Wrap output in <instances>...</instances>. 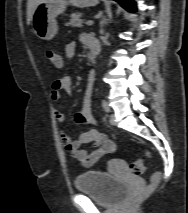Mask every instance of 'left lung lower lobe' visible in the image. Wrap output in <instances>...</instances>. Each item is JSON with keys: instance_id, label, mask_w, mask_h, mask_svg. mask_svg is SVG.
Listing matches in <instances>:
<instances>
[{"instance_id": "obj_1", "label": "left lung lower lobe", "mask_w": 188, "mask_h": 213, "mask_svg": "<svg viewBox=\"0 0 188 213\" xmlns=\"http://www.w3.org/2000/svg\"><path fill=\"white\" fill-rule=\"evenodd\" d=\"M120 5H122L125 9H127L130 12L136 11V6L134 1L132 0H116Z\"/></svg>"}]
</instances>
